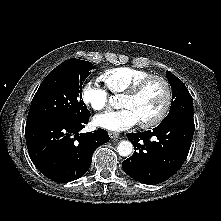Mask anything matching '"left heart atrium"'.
Segmentation results:
<instances>
[{
	"instance_id": "obj_1",
	"label": "left heart atrium",
	"mask_w": 221,
	"mask_h": 221,
	"mask_svg": "<svg viewBox=\"0 0 221 221\" xmlns=\"http://www.w3.org/2000/svg\"><path fill=\"white\" fill-rule=\"evenodd\" d=\"M138 122L136 115L128 108L108 112L94 118L95 125L111 131L125 130Z\"/></svg>"
}]
</instances>
